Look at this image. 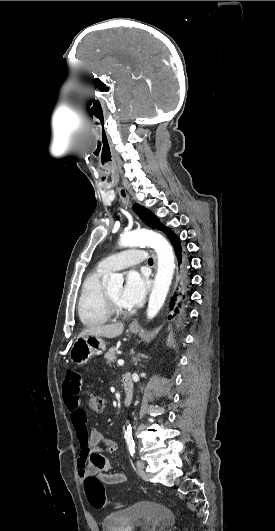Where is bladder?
<instances>
[{"label":"bladder","mask_w":275,"mask_h":531,"mask_svg":"<svg viewBox=\"0 0 275 531\" xmlns=\"http://www.w3.org/2000/svg\"><path fill=\"white\" fill-rule=\"evenodd\" d=\"M173 514L166 504L140 501L127 509L106 514L103 531H169Z\"/></svg>","instance_id":"bladder-1"}]
</instances>
